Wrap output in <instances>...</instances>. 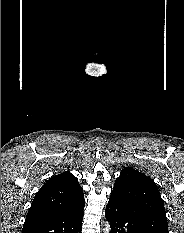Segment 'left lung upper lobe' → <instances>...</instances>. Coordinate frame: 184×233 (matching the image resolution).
Returning <instances> with one entry per match:
<instances>
[{"label":"left lung upper lobe","instance_id":"1","mask_svg":"<svg viewBox=\"0 0 184 233\" xmlns=\"http://www.w3.org/2000/svg\"><path fill=\"white\" fill-rule=\"evenodd\" d=\"M110 198L140 217L153 233H169L164 203L155 182L130 167L116 179Z\"/></svg>","mask_w":184,"mask_h":233}]
</instances>
